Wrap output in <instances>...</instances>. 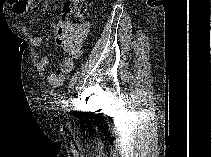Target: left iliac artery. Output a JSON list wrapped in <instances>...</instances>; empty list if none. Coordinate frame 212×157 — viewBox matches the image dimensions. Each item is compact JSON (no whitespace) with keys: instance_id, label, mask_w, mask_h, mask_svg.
Segmentation results:
<instances>
[{"instance_id":"44dca946","label":"left iliac artery","mask_w":212,"mask_h":157,"mask_svg":"<svg viewBox=\"0 0 212 157\" xmlns=\"http://www.w3.org/2000/svg\"><path fill=\"white\" fill-rule=\"evenodd\" d=\"M61 103H62V107H63L64 109H66L67 106H68V100L66 99L65 96L62 98Z\"/></svg>"}]
</instances>
